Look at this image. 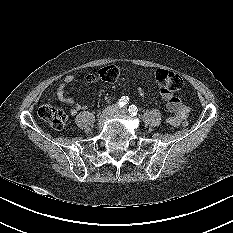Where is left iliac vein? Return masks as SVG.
Listing matches in <instances>:
<instances>
[{"label": "left iliac vein", "mask_w": 233, "mask_h": 233, "mask_svg": "<svg viewBox=\"0 0 233 233\" xmlns=\"http://www.w3.org/2000/svg\"><path fill=\"white\" fill-rule=\"evenodd\" d=\"M115 113H116L117 115L126 116L127 110H126V108H122V109H120V110H117Z\"/></svg>", "instance_id": "4c4485c4"}]
</instances>
